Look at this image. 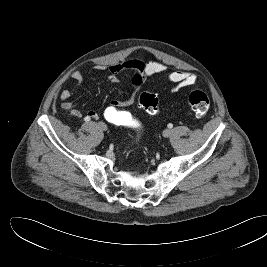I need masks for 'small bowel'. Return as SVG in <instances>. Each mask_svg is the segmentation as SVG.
Wrapping results in <instances>:
<instances>
[{"instance_id": "obj_1", "label": "small bowel", "mask_w": 267, "mask_h": 267, "mask_svg": "<svg viewBox=\"0 0 267 267\" xmlns=\"http://www.w3.org/2000/svg\"><path fill=\"white\" fill-rule=\"evenodd\" d=\"M98 69H105V67L99 66ZM108 80L111 83H118V74L124 70H131L134 72L132 82L136 88L141 87L147 78L154 75L163 73L167 69V65L159 61L143 62L140 60H129L123 64H114L108 66ZM73 79V86L68 89H64L60 93V99L62 101V108L73 117H80L81 112L74 107L70 98L72 97L74 90L79 87L83 82V76L79 71H73L71 73ZM168 80L173 84L172 92H177L182 88L192 86L197 81V76L188 71H175L168 74ZM135 100V93H133L128 99L123 101H112L111 103L120 107L133 104ZM89 119H98L99 115L96 111H89L86 115Z\"/></svg>"}]
</instances>
